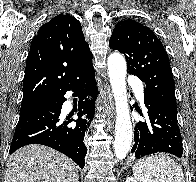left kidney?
Segmentation results:
<instances>
[{"instance_id": "5707ae66", "label": "left kidney", "mask_w": 196, "mask_h": 182, "mask_svg": "<svg viewBox=\"0 0 196 182\" xmlns=\"http://www.w3.org/2000/svg\"><path fill=\"white\" fill-rule=\"evenodd\" d=\"M125 182H137V181L132 177H128Z\"/></svg>"}]
</instances>
